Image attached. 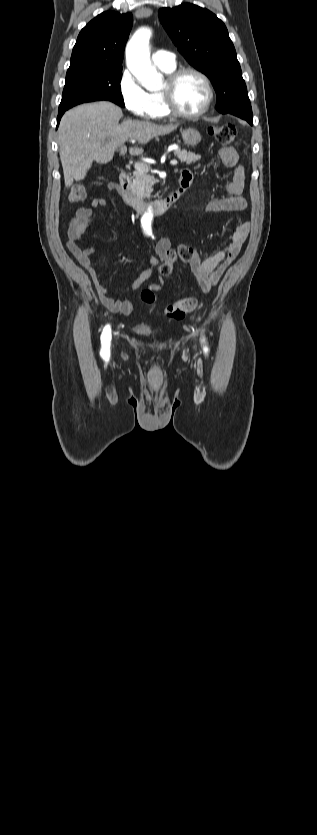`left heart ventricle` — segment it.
Listing matches in <instances>:
<instances>
[{
	"label": "left heart ventricle",
	"instance_id": "b2bd125f",
	"mask_svg": "<svg viewBox=\"0 0 317 835\" xmlns=\"http://www.w3.org/2000/svg\"><path fill=\"white\" fill-rule=\"evenodd\" d=\"M207 90L201 78L194 74L184 75L175 90L178 107L185 113H195L204 104Z\"/></svg>",
	"mask_w": 317,
	"mask_h": 835
}]
</instances>
